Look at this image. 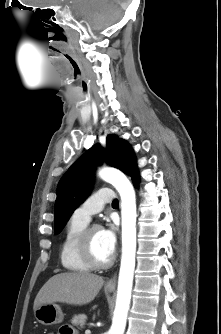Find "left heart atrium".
Here are the masks:
<instances>
[{"mask_svg": "<svg viewBox=\"0 0 221 334\" xmlns=\"http://www.w3.org/2000/svg\"><path fill=\"white\" fill-rule=\"evenodd\" d=\"M102 235L106 246L114 252L117 244L115 228L112 225H108L106 228L102 229Z\"/></svg>", "mask_w": 221, "mask_h": 334, "instance_id": "left-heart-atrium-1", "label": "left heart atrium"}]
</instances>
